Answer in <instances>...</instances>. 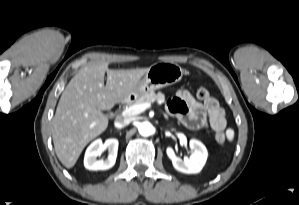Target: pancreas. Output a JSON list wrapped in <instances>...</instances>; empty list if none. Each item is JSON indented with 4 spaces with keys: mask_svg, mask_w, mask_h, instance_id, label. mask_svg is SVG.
<instances>
[{
    "mask_svg": "<svg viewBox=\"0 0 299 205\" xmlns=\"http://www.w3.org/2000/svg\"><path fill=\"white\" fill-rule=\"evenodd\" d=\"M164 101H165V95L163 93L158 92L156 94L155 92H150L140 96L134 102L128 103V107H131L136 104L152 103V102H157L158 104H162Z\"/></svg>",
    "mask_w": 299,
    "mask_h": 205,
    "instance_id": "obj_1",
    "label": "pancreas"
}]
</instances>
